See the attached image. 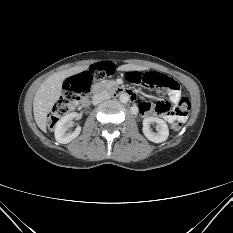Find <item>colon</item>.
<instances>
[{"mask_svg":"<svg viewBox=\"0 0 233 233\" xmlns=\"http://www.w3.org/2000/svg\"><path fill=\"white\" fill-rule=\"evenodd\" d=\"M113 66L111 63H101L90 67L78 75L69 78L64 86V93L54 105L51 114L48 117V126L53 128L58 120L67 112L72 110L77 104L85 102L91 91L93 80H101L105 76L112 74ZM126 79L130 83L140 84L149 88L170 89L175 87L173 80L166 76L156 73H141L131 71L126 73ZM157 107L161 105L156 103ZM190 111V101L183 97L176 107V112L181 116H187ZM171 129L178 131L182 127L181 120H174L170 125Z\"/></svg>","mask_w":233,"mask_h":233,"instance_id":"colon-1","label":"colon"}]
</instances>
